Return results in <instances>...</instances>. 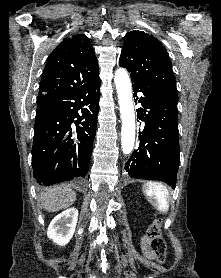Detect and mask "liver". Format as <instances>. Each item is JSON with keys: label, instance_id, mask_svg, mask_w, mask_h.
<instances>
[{"label": "liver", "instance_id": "obj_1", "mask_svg": "<svg viewBox=\"0 0 221 278\" xmlns=\"http://www.w3.org/2000/svg\"><path fill=\"white\" fill-rule=\"evenodd\" d=\"M75 200L76 193L69 185L46 189L40 198L42 208L49 212H57L68 208Z\"/></svg>", "mask_w": 221, "mask_h": 278}]
</instances>
